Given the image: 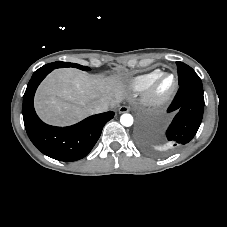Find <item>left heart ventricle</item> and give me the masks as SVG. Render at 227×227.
Here are the masks:
<instances>
[{
	"instance_id": "b2bd125f",
	"label": "left heart ventricle",
	"mask_w": 227,
	"mask_h": 227,
	"mask_svg": "<svg viewBox=\"0 0 227 227\" xmlns=\"http://www.w3.org/2000/svg\"><path fill=\"white\" fill-rule=\"evenodd\" d=\"M170 82H171V79L168 77V78H166L165 80H164V82H163V87L165 88V87H167L169 84H170Z\"/></svg>"
}]
</instances>
